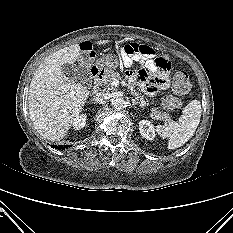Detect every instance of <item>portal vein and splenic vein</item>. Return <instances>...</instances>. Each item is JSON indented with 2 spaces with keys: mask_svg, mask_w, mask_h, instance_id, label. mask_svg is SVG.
<instances>
[{
  "mask_svg": "<svg viewBox=\"0 0 233 233\" xmlns=\"http://www.w3.org/2000/svg\"><path fill=\"white\" fill-rule=\"evenodd\" d=\"M119 84V81L117 79H115L113 82H112V85L113 86H117Z\"/></svg>",
  "mask_w": 233,
  "mask_h": 233,
  "instance_id": "1",
  "label": "portal vein and splenic vein"
}]
</instances>
